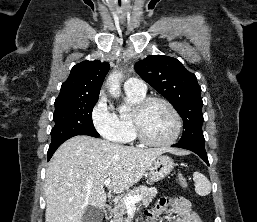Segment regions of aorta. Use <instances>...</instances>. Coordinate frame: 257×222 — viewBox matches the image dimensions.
<instances>
[{
  "mask_svg": "<svg viewBox=\"0 0 257 222\" xmlns=\"http://www.w3.org/2000/svg\"><path fill=\"white\" fill-rule=\"evenodd\" d=\"M122 77V73L120 71H115L113 73H111L107 79V84L109 87V92L111 93V95L115 98H118L120 96L121 93V89H120V80ZM129 108L124 106L121 108L122 111H126Z\"/></svg>",
  "mask_w": 257,
  "mask_h": 222,
  "instance_id": "762f6f07",
  "label": "aorta"
}]
</instances>
